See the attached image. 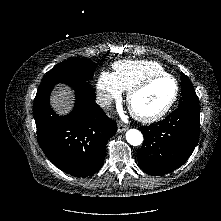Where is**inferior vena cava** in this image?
<instances>
[{
	"instance_id": "obj_1",
	"label": "inferior vena cava",
	"mask_w": 221,
	"mask_h": 221,
	"mask_svg": "<svg viewBox=\"0 0 221 221\" xmlns=\"http://www.w3.org/2000/svg\"><path fill=\"white\" fill-rule=\"evenodd\" d=\"M112 102V96L106 91H99L96 95V103L101 107H106Z\"/></svg>"
}]
</instances>
